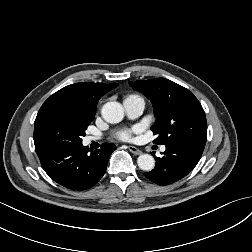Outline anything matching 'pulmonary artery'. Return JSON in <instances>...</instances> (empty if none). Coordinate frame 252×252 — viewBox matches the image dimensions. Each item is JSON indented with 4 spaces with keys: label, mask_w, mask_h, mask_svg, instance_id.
Here are the masks:
<instances>
[{
    "label": "pulmonary artery",
    "mask_w": 252,
    "mask_h": 252,
    "mask_svg": "<svg viewBox=\"0 0 252 252\" xmlns=\"http://www.w3.org/2000/svg\"><path fill=\"white\" fill-rule=\"evenodd\" d=\"M123 106L126 112V115L130 118V119H135L138 118L139 116L142 115L144 109H145V102L143 100V98H141L140 96L137 95H130L127 96L124 100H123ZM99 137L98 136H88L86 141L87 143L91 142V141H95L98 140ZM165 146L161 147V151L164 152L165 151Z\"/></svg>",
    "instance_id": "1"
}]
</instances>
